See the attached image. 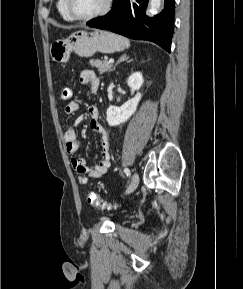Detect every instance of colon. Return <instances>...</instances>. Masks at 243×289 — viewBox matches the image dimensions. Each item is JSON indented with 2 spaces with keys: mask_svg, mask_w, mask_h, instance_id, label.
<instances>
[{
  "mask_svg": "<svg viewBox=\"0 0 243 289\" xmlns=\"http://www.w3.org/2000/svg\"><path fill=\"white\" fill-rule=\"evenodd\" d=\"M72 95V91L69 87H63L60 91V99L62 101L68 100ZM87 203L97 208L101 209H111L112 205L110 203L101 201L100 198L93 192L87 194Z\"/></svg>",
  "mask_w": 243,
  "mask_h": 289,
  "instance_id": "colon-1",
  "label": "colon"
}]
</instances>
